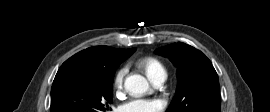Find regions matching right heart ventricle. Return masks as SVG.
Returning <instances> with one entry per match:
<instances>
[{"label":"right heart ventricle","mask_w":270,"mask_h":112,"mask_svg":"<svg viewBox=\"0 0 270 112\" xmlns=\"http://www.w3.org/2000/svg\"><path fill=\"white\" fill-rule=\"evenodd\" d=\"M139 65L151 81L159 76H166V69L163 63L155 57L143 59Z\"/></svg>","instance_id":"right-heart-ventricle-1"}]
</instances>
